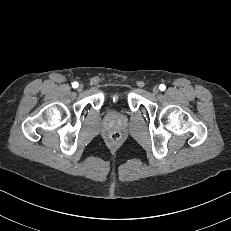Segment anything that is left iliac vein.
Here are the masks:
<instances>
[{
	"label": "left iliac vein",
	"mask_w": 231,
	"mask_h": 231,
	"mask_svg": "<svg viewBox=\"0 0 231 231\" xmlns=\"http://www.w3.org/2000/svg\"><path fill=\"white\" fill-rule=\"evenodd\" d=\"M152 91H153L154 94H157L159 92V87L154 86Z\"/></svg>",
	"instance_id": "4c4485c4"
}]
</instances>
